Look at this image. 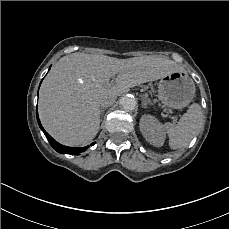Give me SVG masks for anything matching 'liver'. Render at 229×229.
Instances as JSON below:
<instances>
[{
	"label": "liver",
	"instance_id": "liver-1",
	"mask_svg": "<svg viewBox=\"0 0 229 229\" xmlns=\"http://www.w3.org/2000/svg\"><path fill=\"white\" fill-rule=\"evenodd\" d=\"M175 71L185 70L172 60L155 56L129 59L82 53L64 56L42 82L40 121L59 143L86 144L98 133L102 101L112 104L130 88ZM115 76L116 84L111 85L109 80Z\"/></svg>",
	"mask_w": 229,
	"mask_h": 229
}]
</instances>
